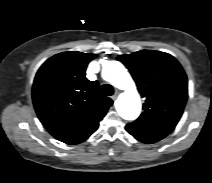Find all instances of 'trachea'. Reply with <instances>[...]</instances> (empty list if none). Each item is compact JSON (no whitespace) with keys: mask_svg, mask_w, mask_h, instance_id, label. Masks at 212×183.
Listing matches in <instances>:
<instances>
[{"mask_svg":"<svg viewBox=\"0 0 212 183\" xmlns=\"http://www.w3.org/2000/svg\"><path fill=\"white\" fill-rule=\"evenodd\" d=\"M102 91L105 95L111 96L114 93V88L110 84L102 85Z\"/></svg>","mask_w":212,"mask_h":183,"instance_id":"trachea-1","label":"trachea"}]
</instances>
